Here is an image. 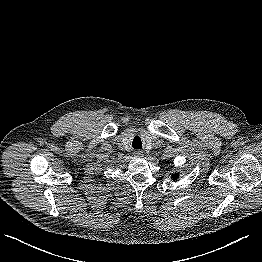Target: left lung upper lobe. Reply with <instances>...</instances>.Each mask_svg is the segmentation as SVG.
Wrapping results in <instances>:
<instances>
[{
    "label": "left lung upper lobe",
    "mask_w": 262,
    "mask_h": 262,
    "mask_svg": "<svg viewBox=\"0 0 262 262\" xmlns=\"http://www.w3.org/2000/svg\"><path fill=\"white\" fill-rule=\"evenodd\" d=\"M177 177H178V174H176V173L172 175L173 179H177Z\"/></svg>",
    "instance_id": "left-lung-upper-lobe-1"
}]
</instances>
